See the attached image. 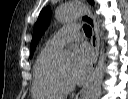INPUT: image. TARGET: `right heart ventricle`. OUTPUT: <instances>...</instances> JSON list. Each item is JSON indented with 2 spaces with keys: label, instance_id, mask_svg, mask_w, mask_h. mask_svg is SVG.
<instances>
[{
  "label": "right heart ventricle",
  "instance_id": "e07e8e85",
  "mask_svg": "<svg viewBox=\"0 0 128 99\" xmlns=\"http://www.w3.org/2000/svg\"><path fill=\"white\" fill-rule=\"evenodd\" d=\"M55 52L46 46L35 61L32 84L34 99H61L66 94L58 79Z\"/></svg>",
  "mask_w": 128,
  "mask_h": 99
}]
</instances>
